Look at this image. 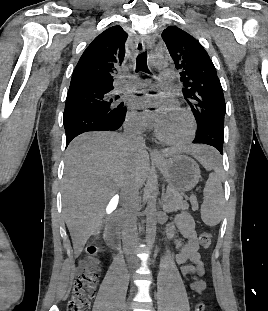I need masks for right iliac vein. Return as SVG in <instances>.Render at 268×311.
Segmentation results:
<instances>
[{
  "mask_svg": "<svg viewBox=\"0 0 268 311\" xmlns=\"http://www.w3.org/2000/svg\"><path fill=\"white\" fill-rule=\"evenodd\" d=\"M131 310V304L130 301H128L127 306H126V311H130Z\"/></svg>",
  "mask_w": 268,
  "mask_h": 311,
  "instance_id": "63e3f726",
  "label": "right iliac vein"
}]
</instances>
